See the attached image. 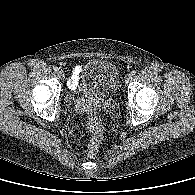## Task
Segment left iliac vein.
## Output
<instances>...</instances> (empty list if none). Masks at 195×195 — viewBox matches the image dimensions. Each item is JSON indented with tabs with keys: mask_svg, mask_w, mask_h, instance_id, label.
<instances>
[{
	"mask_svg": "<svg viewBox=\"0 0 195 195\" xmlns=\"http://www.w3.org/2000/svg\"><path fill=\"white\" fill-rule=\"evenodd\" d=\"M132 80V75L131 74H127L125 76V82H130Z\"/></svg>",
	"mask_w": 195,
	"mask_h": 195,
	"instance_id": "4c4485c4",
	"label": "left iliac vein"
}]
</instances>
